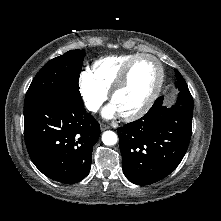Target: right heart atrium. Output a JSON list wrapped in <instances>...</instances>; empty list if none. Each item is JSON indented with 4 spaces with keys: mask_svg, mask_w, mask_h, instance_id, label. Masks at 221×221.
Returning a JSON list of instances; mask_svg holds the SVG:
<instances>
[{
    "mask_svg": "<svg viewBox=\"0 0 221 221\" xmlns=\"http://www.w3.org/2000/svg\"><path fill=\"white\" fill-rule=\"evenodd\" d=\"M78 87L83 103L89 111H97L107 99L108 93L95 81L89 71L81 72Z\"/></svg>",
    "mask_w": 221,
    "mask_h": 221,
    "instance_id": "obj_1",
    "label": "right heart atrium"
}]
</instances>
